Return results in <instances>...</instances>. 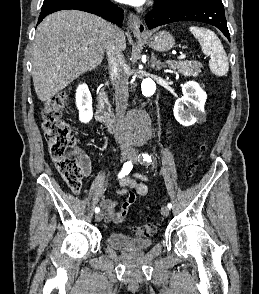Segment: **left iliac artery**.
I'll list each match as a JSON object with an SVG mask.
<instances>
[{"label":"left iliac artery","mask_w":259,"mask_h":294,"mask_svg":"<svg viewBox=\"0 0 259 294\" xmlns=\"http://www.w3.org/2000/svg\"><path fill=\"white\" fill-rule=\"evenodd\" d=\"M139 161L142 163V162H152V159L151 157L147 154V153H143L142 156L139 157ZM167 207L170 209L172 208V204L171 203H168Z\"/></svg>","instance_id":"44dca946"}]
</instances>
